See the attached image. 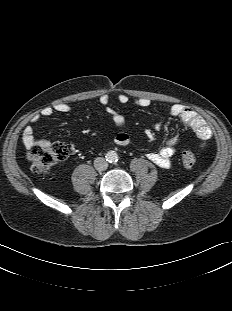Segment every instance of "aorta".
Wrapping results in <instances>:
<instances>
[{"label":"aorta","instance_id":"1","mask_svg":"<svg viewBox=\"0 0 232 311\" xmlns=\"http://www.w3.org/2000/svg\"><path fill=\"white\" fill-rule=\"evenodd\" d=\"M106 159L107 161H109L110 163H114L118 161V155L115 151H109L106 154Z\"/></svg>","mask_w":232,"mask_h":311}]
</instances>
